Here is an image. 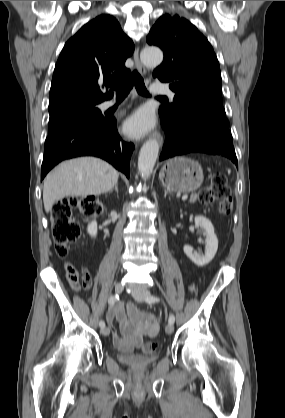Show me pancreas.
<instances>
[{
    "label": "pancreas",
    "mask_w": 285,
    "mask_h": 418,
    "mask_svg": "<svg viewBox=\"0 0 285 418\" xmlns=\"http://www.w3.org/2000/svg\"><path fill=\"white\" fill-rule=\"evenodd\" d=\"M190 201H191V202H193V201H194V199L192 198V199H190Z\"/></svg>",
    "instance_id": "1"
}]
</instances>
